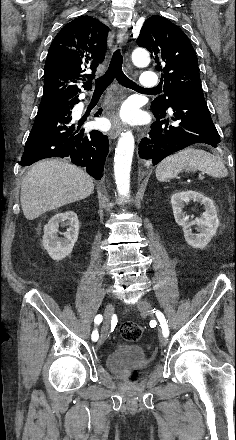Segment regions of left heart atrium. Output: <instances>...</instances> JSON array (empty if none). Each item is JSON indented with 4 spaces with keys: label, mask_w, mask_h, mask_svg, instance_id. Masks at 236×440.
Returning a JSON list of instances; mask_svg holds the SVG:
<instances>
[{
    "label": "left heart atrium",
    "mask_w": 236,
    "mask_h": 440,
    "mask_svg": "<svg viewBox=\"0 0 236 440\" xmlns=\"http://www.w3.org/2000/svg\"><path fill=\"white\" fill-rule=\"evenodd\" d=\"M122 115H123L124 118H129L131 113H130L129 110H125V111H123Z\"/></svg>",
    "instance_id": "obj_1"
}]
</instances>
